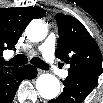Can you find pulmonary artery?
I'll return each instance as SVG.
<instances>
[{"label":"pulmonary artery","instance_id":"pulmonary-artery-1","mask_svg":"<svg viewBox=\"0 0 103 103\" xmlns=\"http://www.w3.org/2000/svg\"><path fill=\"white\" fill-rule=\"evenodd\" d=\"M56 36L54 33H51L46 40L39 46L47 65L59 76L67 77V70H60L54 64V52H55Z\"/></svg>","mask_w":103,"mask_h":103}]
</instances>
